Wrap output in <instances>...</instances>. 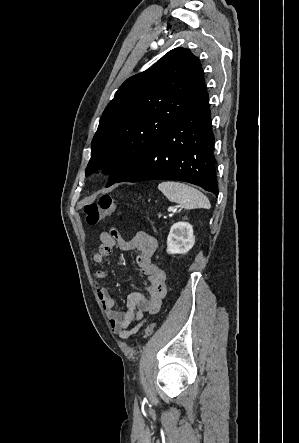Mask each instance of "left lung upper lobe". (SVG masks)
Masks as SVG:
<instances>
[{"instance_id":"5c2ea615","label":"left lung upper lobe","mask_w":299,"mask_h":443,"mask_svg":"<svg viewBox=\"0 0 299 443\" xmlns=\"http://www.w3.org/2000/svg\"><path fill=\"white\" fill-rule=\"evenodd\" d=\"M205 92L201 64L184 48L128 78L103 112L86 176L106 170L107 187L114 184Z\"/></svg>"}]
</instances>
